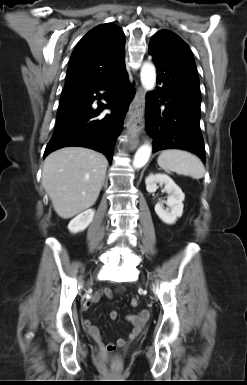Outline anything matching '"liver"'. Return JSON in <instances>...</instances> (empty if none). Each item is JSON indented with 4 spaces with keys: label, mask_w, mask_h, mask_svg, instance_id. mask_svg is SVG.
Segmentation results:
<instances>
[{
    "label": "liver",
    "mask_w": 247,
    "mask_h": 385,
    "mask_svg": "<svg viewBox=\"0 0 247 385\" xmlns=\"http://www.w3.org/2000/svg\"><path fill=\"white\" fill-rule=\"evenodd\" d=\"M107 165L103 154L83 147L61 148L46 157L42 185L61 218L69 219L94 205Z\"/></svg>",
    "instance_id": "obj_1"
}]
</instances>
